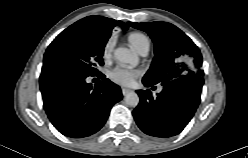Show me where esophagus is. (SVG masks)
Segmentation results:
<instances>
[{
  "mask_svg": "<svg viewBox=\"0 0 248 158\" xmlns=\"http://www.w3.org/2000/svg\"><path fill=\"white\" fill-rule=\"evenodd\" d=\"M121 90H122V94H123L124 96L127 95L128 93H130V92L132 91L131 89H129V88H124V87H122Z\"/></svg>",
  "mask_w": 248,
  "mask_h": 158,
  "instance_id": "esophagus-1",
  "label": "esophagus"
}]
</instances>
